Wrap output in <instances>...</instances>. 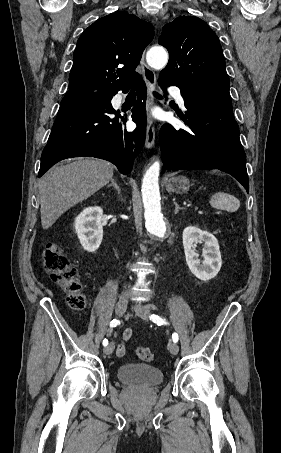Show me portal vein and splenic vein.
<instances>
[{"mask_svg":"<svg viewBox=\"0 0 281 453\" xmlns=\"http://www.w3.org/2000/svg\"><path fill=\"white\" fill-rule=\"evenodd\" d=\"M195 211H198V213H199L200 215L203 214V213H202V210H198V208H195ZM216 214H217V215H221L220 210H216Z\"/></svg>","mask_w":281,"mask_h":453,"instance_id":"obj_1","label":"portal vein and splenic vein"}]
</instances>
